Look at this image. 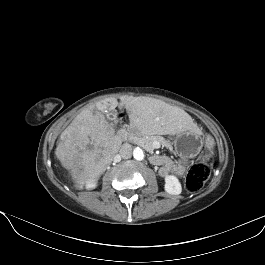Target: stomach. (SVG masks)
Returning <instances> with one entry per match:
<instances>
[{"mask_svg": "<svg viewBox=\"0 0 265 265\" xmlns=\"http://www.w3.org/2000/svg\"><path fill=\"white\" fill-rule=\"evenodd\" d=\"M176 153L184 158L195 157L202 148V139L199 134L192 131H184L170 135Z\"/></svg>", "mask_w": 265, "mask_h": 265, "instance_id": "stomach-1", "label": "stomach"}]
</instances>
